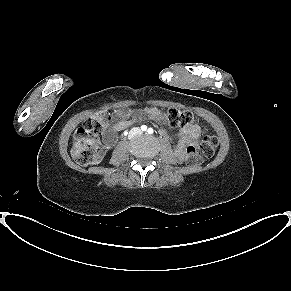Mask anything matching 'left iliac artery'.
I'll return each mask as SVG.
<instances>
[{
	"label": "left iliac artery",
	"mask_w": 291,
	"mask_h": 291,
	"mask_svg": "<svg viewBox=\"0 0 291 291\" xmlns=\"http://www.w3.org/2000/svg\"><path fill=\"white\" fill-rule=\"evenodd\" d=\"M153 132H154L153 128H149V129H148V133H149V134H152Z\"/></svg>",
	"instance_id": "obj_1"
}]
</instances>
